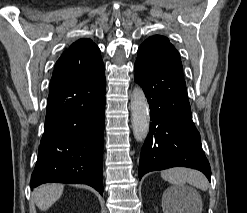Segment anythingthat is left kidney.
I'll return each mask as SVG.
<instances>
[{
    "label": "left kidney",
    "mask_w": 247,
    "mask_h": 213,
    "mask_svg": "<svg viewBox=\"0 0 247 213\" xmlns=\"http://www.w3.org/2000/svg\"><path fill=\"white\" fill-rule=\"evenodd\" d=\"M163 199L165 200H168V202H175V199H177V196L176 194L174 193V190H172L171 194H167L165 192L164 196H163ZM165 213H169L167 210H165Z\"/></svg>",
    "instance_id": "left-kidney-1"
}]
</instances>
